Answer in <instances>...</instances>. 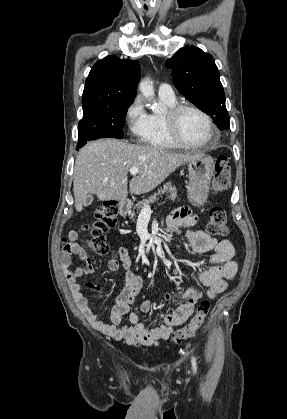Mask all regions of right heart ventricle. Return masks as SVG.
I'll return each mask as SVG.
<instances>
[{
    "instance_id": "1",
    "label": "right heart ventricle",
    "mask_w": 287,
    "mask_h": 419,
    "mask_svg": "<svg viewBox=\"0 0 287 419\" xmlns=\"http://www.w3.org/2000/svg\"><path fill=\"white\" fill-rule=\"evenodd\" d=\"M160 99L168 108L176 105L175 98L160 97ZM140 139L142 143L156 148L176 149L181 147L169 136L163 114L152 113L148 115L147 127Z\"/></svg>"
}]
</instances>
